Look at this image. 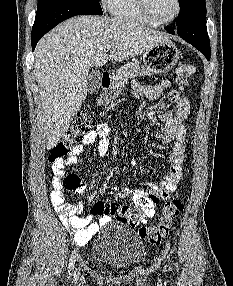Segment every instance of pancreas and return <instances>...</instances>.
Here are the masks:
<instances>
[{
    "mask_svg": "<svg viewBox=\"0 0 233 286\" xmlns=\"http://www.w3.org/2000/svg\"><path fill=\"white\" fill-rule=\"evenodd\" d=\"M151 75V72L139 64L136 63H126L120 67L116 72L113 73L112 84L110 87V95L112 92L114 96L108 97L107 93L103 94L99 99L98 104L109 105L112 102V98H116L119 95L127 83L128 79L135 78L137 76ZM103 98V99H102ZM109 108V107H108Z\"/></svg>",
    "mask_w": 233,
    "mask_h": 286,
    "instance_id": "cf45deb5",
    "label": "pancreas"
}]
</instances>
